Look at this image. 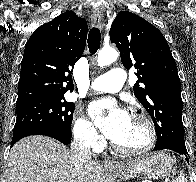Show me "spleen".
<instances>
[{
  "mask_svg": "<svg viewBox=\"0 0 196 182\" xmlns=\"http://www.w3.org/2000/svg\"><path fill=\"white\" fill-rule=\"evenodd\" d=\"M175 182H188L183 171H180V174L176 178Z\"/></svg>",
  "mask_w": 196,
  "mask_h": 182,
  "instance_id": "obj_1",
  "label": "spleen"
}]
</instances>
